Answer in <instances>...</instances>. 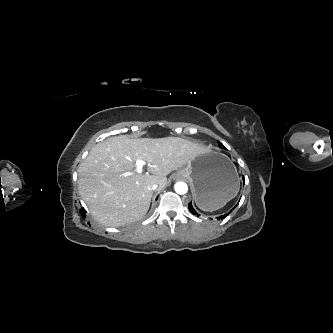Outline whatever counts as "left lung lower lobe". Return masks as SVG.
Segmentation results:
<instances>
[{
    "instance_id": "left-lung-lower-lobe-1",
    "label": "left lung lower lobe",
    "mask_w": 333,
    "mask_h": 333,
    "mask_svg": "<svg viewBox=\"0 0 333 333\" xmlns=\"http://www.w3.org/2000/svg\"><path fill=\"white\" fill-rule=\"evenodd\" d=\"M243 179H244V178H243ZM235 207H236V206H235ZM235 207H234V208H235ZM188 208H189V210H190V212H191L192 214H197V212H196L195 209L193 208L191 202L188 204ZM234 208H233V209H234ZM230 212H232V210H231ZM230 212H229V213H230ZM229 213H226V214H224V215L218 217V220H219V219H224L226 216L229 215Z\"/></svg>"
}]
</instances>
